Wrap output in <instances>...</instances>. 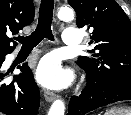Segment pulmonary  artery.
Returning a JSON list of instances; mask_svg holds the SVG:
<instances>
[{
	"label": "pulmonary artery",
	"mask_w": 131,
	"mask_h": 115,
	"mask_svg": "<svg viewBox=\"0 0 131 115\" xmlns=\"http://www.w3.org/2000/svg\"><path fill=\"white\" fill-rule=\"evenodd\" d=\"M82 38L81 32L76 28H67L63 32V43L66 46H79L81 45Z\"/></svg>",
	"instance_id": "e3ab8cb5"
}]
</instances>
